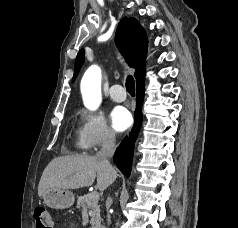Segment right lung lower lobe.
Instances as JSON below:
<instances>
[{
  "label": "right lung lower lobe",
  "mask_w": 238,
  "mask_h": 228,
  "mask_svg": "<svg viewBox=\"0 0 238 228\" xmlns=\"http://www.w3.org/2000/svg\"><path fill=\"white\" fill-rule=\"evenodd\" d=\"M144 81L145 77L139 82H137V92H136L137 105L135 110V125L132 128L129 137H125L124 140L121 142L113 157L116 166L126 176H129L131 172L134 143L138 135V128L136 129V125L140 126L142 120L141 108L145 93ZM138 120L139 122H137Z\"/></svg>",
  "instance_id": "obj_1"
}]
</instances>
